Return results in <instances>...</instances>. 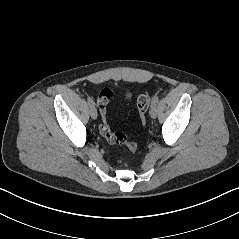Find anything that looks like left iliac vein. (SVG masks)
Returning a JSON list of instances; mask_svg holds the SVG:
<instances>
[{"mask_svg": "<svg viewBox=\"0 0 239 239\" xmlns=\"http://www.w3.org/2000/svg\"><path fill=\"white\" fill-rule=\"evenodd\" d=\"M150 116L152 119H155L156 116H157V107L156 105H152L151 108H150Z\"/></svg>", "mask_w": 239, "mask_h": 239, "instance_id": "left-iliac-vein-1", "label": "left iliac vein"}]
</instances>
